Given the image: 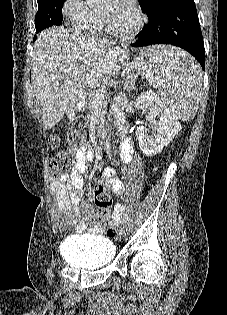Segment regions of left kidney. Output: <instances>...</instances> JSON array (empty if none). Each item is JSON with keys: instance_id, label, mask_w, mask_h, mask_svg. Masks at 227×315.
I'll list each match as a JSON object with an SVG mask.
<instances>
[{"instance_id": "obj_1", "label": "left kidney", "mask_w": 227, "mask_h": 315, "mask_svg": "<svg viewBox=\"0 0 227 315\" xmlns=\"http://www.w3.org/2000/svg\"><path fill=\"white\" fill-rule=\"evenodd\" d=\"M137 109H149L150 116L160 117L155 125L157 134L149 135L148 129L140 126L136 129V136L142 152L148 156L160 153L181 130V124L173 112L167 108L161 98L153 91L141 93L135 102Z\"/></svg>"}]
</instances>
